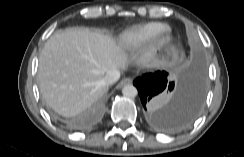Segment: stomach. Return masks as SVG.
Instances as JSON below:
<instances>
[{"mask_svg":"<svg viewBox=\"0 0 244 157\" xmlns=\"http://www.w3.org/2000/svg\"><path fill=\"white\" fill-rule=\"evenodd\" d=\"M178 61V52L173 46H166L157 56L156 65L163 70L174 68Z\"/></svg>","mask_w":244,"mask_h":157,"instance_id":"0dacf381","label":"stomach"}]
</instances>
